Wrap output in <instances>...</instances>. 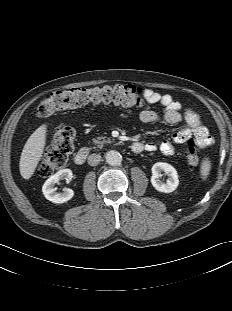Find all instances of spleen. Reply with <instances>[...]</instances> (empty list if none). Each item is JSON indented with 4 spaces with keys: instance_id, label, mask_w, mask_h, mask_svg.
I'll return each instance as SVG.
<instances>
[{
    "instance_id": "1",
    "label": "spleen",
    "mask_w": 232,
    "mask_h": 311,
    "mask_svg": "<svg viewBox=\"0 0 232 311\" xmlns=\"http://www.w3.org/2000/svg\"><path fill=\"white\" fill-rule=\"evenodd\" d=\"M211 169V164L208 159L203 160L201 167H200V174L203 179H206L207 176L209 175Z\"/></svg>"
}]
</instances>
